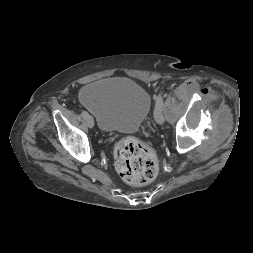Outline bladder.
<instances>
[{"label": "bladder", "mask_w": 253, "mask_h": 253, "mask_svg": "<svg viewBox=\"0 0 253 253\" xmlns=\"http://www.w3.org/2000/svg\"><path fill=\"white\" fill-rule=\"evenodd\" d=\"M80 101L96 116L98 126L104 132H134L151 109L150 94L128 78L90 83L82 88Z\"/></svg>", "instance_id": "31cf9c89"}]
</instances>
